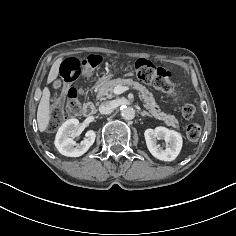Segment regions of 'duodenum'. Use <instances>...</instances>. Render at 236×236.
Wrapping results in <instances>:
<instances>
[{
  "label": "duodenum",
  "instance_id": "duodenum-1",
  "mask_svg": "<svg viewBox=\"0 0 236 236\" xmlns=\"http://www.w3.org/2000/svg\"><path fill=\"white\" fill-rule=\"evenodd\" d=\"M95 111V105L93 102L89 101L85 104V108H84V114L85 116H91L94 114Z\"/></svg>",
  "mask_w": 236,
  "mask_h": 236
}]
</instances>
